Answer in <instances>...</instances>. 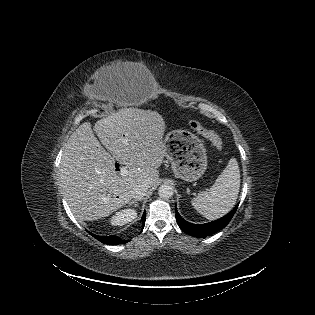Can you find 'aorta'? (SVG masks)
<instances>
[{"mask_svg": "<svg viewBox=\"0 0 315 315\" xmlns=\"http://www.w3.org/2000/svg\"><path fill=\"white\" fill-rule=\"evenodd\" d=\"M173 187L168 184H163L158 189V194L163 199H169L173 196Z\"/></svg>", "mask_w": 315, "mask_h": 315, "instance_id": "aorta-1", "label": "aorta"}]
</instances>
